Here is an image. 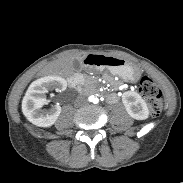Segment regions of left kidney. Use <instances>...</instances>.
Returning a JSON list of instances; mask_svg holds the SVG:
<instances>
[{
    "mask_svg": "<svg viewBox=\"0 0 183 183\" xmlns=\"http://www.w3.org/2000/svg\"><path fill=\"white\" fill-rule=\"evenodd\" d=\"M122 102L127 113L136 120H145L149 117V108L145 100L135 91H127L122 95Z\"/></svg>",
    "mask_w": 183,
    "mask_h": 183,
    "instance_id": "left-kidney-1",
    "label": "left kidney"
}]
</instances>
